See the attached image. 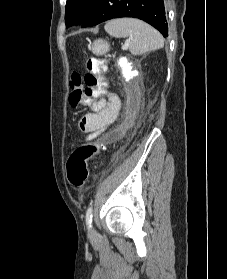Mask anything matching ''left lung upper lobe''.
Here are the masks:
<instances>
[{
  "mask_svg": "<svg viewBox=\"0 0 227 279\" xmlns=\"http://www.w3.org/2000/svg\"><path fill=\"white\" fill-rule=\"evenodd\" d=\"M95 0H67L65 9L66 27L82 24L90 12Z\"/></svg>",
  "mask_w": 227,
  "mask_h": 279,
  "instance_id": "left-lung-upper-lobe-1",
  "label": "left lung upper lobe"
}]
</instances>
